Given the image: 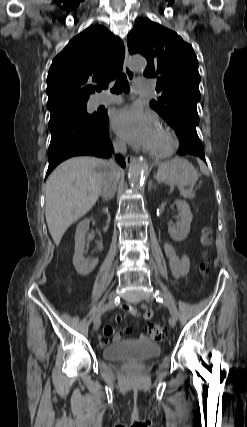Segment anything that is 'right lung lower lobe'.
Returning <instances> with one entry per match:
<instances>
[{"mask_svg":"<svg viewBox=\"0 0 247 427\" xmlns=\"http://www.w3.org/2000/svg\"><path fill=\"white\" fill-rule=\"evenodd\" d=\"M101 115V120L89 122L71 114H51L49 121L51 142L48 149L49 167L46 177L60 162L72 156L109 157L111 155L113 148L107 131L108 117L106 113ZM117 161L122 167L125 166L121 156H117Z\"/></svg>","mask_w":247,"mask_h":427,"instance_id":"obj_1","label":"right lung lower lobe"}]
</instances>
